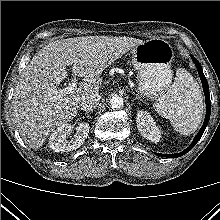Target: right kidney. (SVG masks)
Segmentation results:
<instances>
[{
  "label": "right kidney",
  "mask_w": 220,
  "mask_h": 220,
  "mask_svg": "<svg viewBox=\"0 0 220 220\" xmlns=\"http://www.w3.org/2000/svg\"><path fill=\"white\" fill-rule=\"evenodd\" d=\"M89 124L86 122L80 123L75 129L76 134L67 140L68 136L72 133L73 127L64 123L54 130L49 138V147L55 152H69L79 148L87 139L89 133Z\"/></svg>",
  "instance_id": "right-kidney-1"
}]
</instances>
